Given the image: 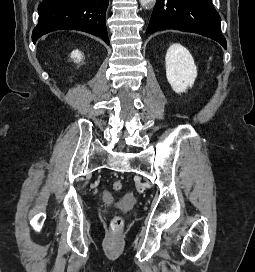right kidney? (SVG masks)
Wrapping results in <instances>:
<instances>
[{
	"instance_id": "right-kidney-1",
	"label": "right kidney",
	"mask_w": 255,
	"mask_h": 272,
	"mask_svg": "<svg viewBox=\"0 0 255 272\" xmlns=\"http://www.w3.org/2000/svg\"><path fill=\"white\" fill-rule=\"evenodd\" d=\"M82 54L79 50H75L71 53V58L74 59L75 62H80L82 58Z\"/></svg>"
}]
</instances>
